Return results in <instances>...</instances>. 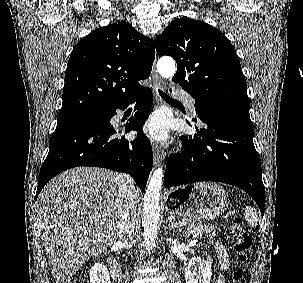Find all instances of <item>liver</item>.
Listing matches in <instances>:
<instances>
[{"mask_svg":"<svg viewBox=\"0 0 303 283\" xmlns=\"http://www.w3.org/2000/svg\"><path fill=\"white\" fill-rule=\"evenodd\" d=\"M121 177L102 168L78 167L59 174L41 191V237L56 283H70L89 257L115 242L123 211Z\"/></svg>","mask_w":303,"mask_h":283,"instance_id":"1","label":"liver"}]
</instances>
